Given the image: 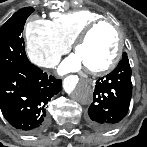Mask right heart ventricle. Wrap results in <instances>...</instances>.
I'll return each instance as SVG.
<instances>
[{"label": "right heart ventricle", "mask_w": 147, "mask_h": 147, "mask_svg": "<svg viewBox=\"0 0 147 147\" xmlns=\"http://www.w3.org/2000/svg\"><path fill=\"white\" fill-rule=\"evenodd\" d=\"M101 18L100 14L92 10L79 9L65 13H53L51 24L57 39L62 43L70 45L83 28Z\"/></svg>", "instance_id": "1"}]
</instances>
